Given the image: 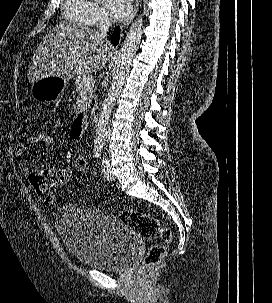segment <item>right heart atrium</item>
<instances>
[{
    "mask_svg": "<svg viewBox=\"0 0 272 303\" xmlns=\"http://www.w3.org/2000/svg\"><path fill=\"white\" fill-rule=\"evenodd\" d=\"M106 22H108V16L104 7L97 2H91V24H103Z\"/></svg>",
    "mask_w": 272,
    "mask_h": 303,
    "instance_id": "obj_1",
    "label": "right heart atrium"
}]
</instances>
